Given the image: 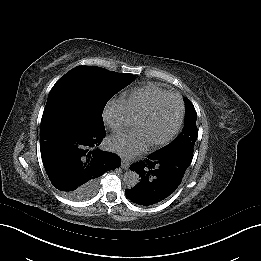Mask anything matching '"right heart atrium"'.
Masks as SVG:
<instances>
[{
	"label": "right heart atrium",
	"instance_id": "obj_1",
	"mask_svg": "<svg viewBox=\"0 0 261 261\" xmlns=\"http://www.w3.org/2000/svg\"><path fill=\"white\" fill-rule=\"evenodd\" d=\"M102 116L108 127L116 131L123 129L126 121V111L121 102H108L103 110Z\"/></svg>",
	"mask_w": 261,
	"mask_h": 261
}]
</instances>
